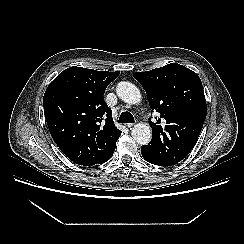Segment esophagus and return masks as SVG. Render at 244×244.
<instances>
[{"mask_svg": "<svg viewBox=\"0 0 244 244\" xmlns=\"http://www.w3.org/2000/svg\"><path fill=\"white\" fill-rule=\"evenodd\" d=\"M134 125H135V124H133V123H127V124H126V127H127V128H132Z\"/></svg>", "mask_w": 244, "mask_h": 244, "instance_id": "esophagus-1", "label": "esophagus"}]
</instances>
